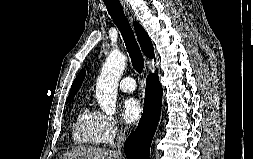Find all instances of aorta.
I'll return each mask as SVG.
<instances>
[{
	"label": "aorta",
	"mask_w": 253,
	"mask_h": 159,
	"mask_svg": "<svg viewBox=\"0 0 253 159\" xmlns=\"http://www.w3.org/2000/svg\"><path fill=\"white\" fill-rule=\"evenodd\" d=\"M126 60V56L121 52H111L97 79L96 99L106 114L116 112L118 82L126 66Z\"/></svg>",
	"instance_id": "1"
}]
</instances>
